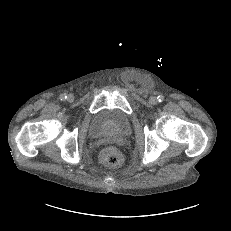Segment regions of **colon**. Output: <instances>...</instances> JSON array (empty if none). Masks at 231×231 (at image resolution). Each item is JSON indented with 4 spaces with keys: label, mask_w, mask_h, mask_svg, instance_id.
<instances>
[{
    "label": "colon",
    "mask_w": 231,
    "mask_h": 231,
    "mask_svg": "<svg viewBox=\"0 0 231 231\" xmlns=\"http://www.w3.org/2000/svg\"><path fill=\"white\" fill-rule=\"evenodd\" d=\"M100 159L103 164L114 167L118 166L122 161L119 150L113 146L105 147L100 153Z\"/></svg>",
    "instance_id": "1"
}]
</instances>
